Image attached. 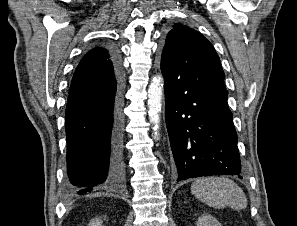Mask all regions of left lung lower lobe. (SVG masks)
Masks as SVG:
<instances>
[{"label":"left lung lower lobe","instance_id":"1","mask_svg":"<svg viewBox=\"0 0 297 226\" xmlns=\"http://www.w3.org/2000/svg\"><path fill=\"white\" fill-rule=\"evenodd\" d=\"M165 79V119L177 166V181L243 170L226 89H195L171 75Z\"/></svg>","mask_w":297,"mask_h":226}]
</instances>
